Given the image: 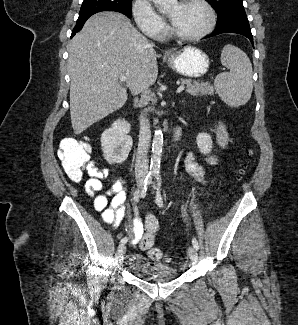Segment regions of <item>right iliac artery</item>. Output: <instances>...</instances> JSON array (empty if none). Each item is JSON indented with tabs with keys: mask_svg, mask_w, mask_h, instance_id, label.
<instances>
[{
	"mask_svg": "<svg viewBox=\"0 0 298 325\" xmlns=\"http://www.w3.org/2000/svg\"><path fill=\"white\" fill-rule=\"evenodd\" d=\"M153 176H154V173H153V172H149L148 175L146 176V178H145L144 181H143V184H142V186H141V189H138V190L135 191V193H134V201H135V202H138V201H139V198H140V192H142V193L146 192V190H147L149 184H150L151 181H152ZM127 241H128V237H124V238L120 241V243H121V244H125Z\"/></svg>",
	"mask_w": 298,
	"mask_h": 325,
	"instance_id": "right-iliac-artery-1",
	"label": "right iliac artery"
}]
</instances>
